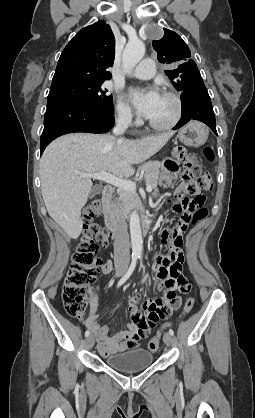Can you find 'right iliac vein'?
<instances>
[{"instance_id": "63e3f726", "label": "right iliac vein", "mask_w": 255, "mask_h": 418, "mask_svg": "<svg viewBox=\"0 0 255 418\" xmlns=\"http://www.w3.org/2000/svg\"><path fill=\"white\" fill-rule=\"evenodd\" d=\"M124 272H125V268L124 267H119L116 270V276L117 277H120V276H122L124 274ZM94 344H95L94 336L93 335L88 336V338H87V346L89 348H92L94 346Z\"/></svg>"}]
</instances>
